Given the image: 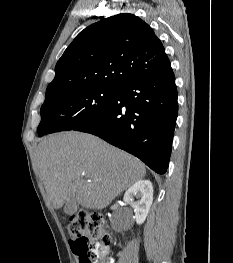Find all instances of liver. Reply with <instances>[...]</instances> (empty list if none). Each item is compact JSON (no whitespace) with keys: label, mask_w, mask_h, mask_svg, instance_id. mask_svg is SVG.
Listing matches in <instances>:
<instances>
[{"label":"liver","mask_w":233,"mask_h":263,"mask_svg":"<svg viewBox=\"0 0 233 263\" xmlns=\"http://www.w3.org/2000/svg\"><path fill=\"white\" fill-rule=\"evenodd\" d=\"M37 157L47 198L55 209L73 196L83 208L101 210L146 174L137 158L81 132L43 138Z\"/></svg>","instance_id":"6515ba94"}]
</instances>
